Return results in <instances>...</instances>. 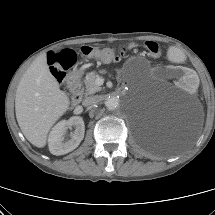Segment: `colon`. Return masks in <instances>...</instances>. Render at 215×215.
<instances>
[{
    "instance_id": "1",
    "label": "colon",
    "mask_w": 215,
    "mask_h": 215,
    "mask_svg": "<svg viewBox=\"0 0 215 215\" xmlns=\"http://www.w3.org/2000/svg\"><path fill=\"white\" fill-rule=\"evenodd\" d=\"M145 47L148 53L153 57H157L161 53V49L156 43L147 42ZM133 48L134 45H129L127 49ZM80 53L84 56L96 57L103 61H113L117 56L115 50L112 48H99L89 45L82 46L80 48ZM76 57V52L69 49L59 53L50 52L48 54L47 61L50 71L59 82L64 79L66 71L75 64Z\"/></svg>"
}]
</instances>
